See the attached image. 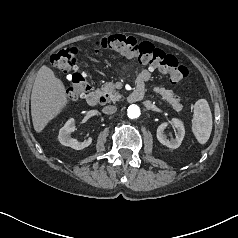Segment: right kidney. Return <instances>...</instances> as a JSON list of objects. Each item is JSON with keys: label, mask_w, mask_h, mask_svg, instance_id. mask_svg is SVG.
Here are the masks:
<instances>
[{"label": "right kidney", "mask_w": 238, "mask_h": 238, "mask_svg": "<svg viewBox=\"0 0 238 238\" xmlns=\"http://www.w3.org/2000/svg\"><path fill=\"white\" fill-rule=\"evenodd\" d=\"M76 130L75 121L73 118L69 119L65 125L60 129L58 140L64 146H69L75 150H81L88 147L92 143V138L89 137L83 142H79L71 137V133Z\"/></svg>", "instance_id": "right-kidney-1"}]
</instances>
